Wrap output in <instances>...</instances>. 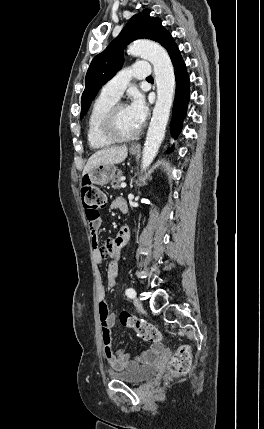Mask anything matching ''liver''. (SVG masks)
<instances>
[{
    "label": "liver",
    "instance_id": "liver-1",
    "mask_svg": "<svg viewBox=\"0 0 264 429\" xmlns=\"http://www.w3.org/2000/svg\"><path fill=\"white\" fill-rule=\"evenodd\" d=\"M127 154L128 150L125 145L99 150L88 159L83 169V175L98 165L119 164L125 160Z\"/></svg>",
    "mask_w": 264,
    "mask_h": 429
}]
</instances>
